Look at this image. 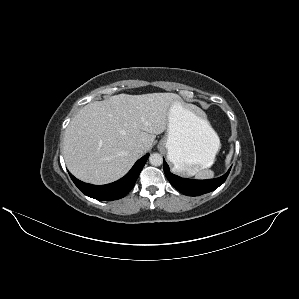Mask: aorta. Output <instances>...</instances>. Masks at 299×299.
I'll return each instance as SVG.
<instances>
[{"label": "aorta", "instance_id": "aorta-1", "mask_svg": "<svg viewBox=\"0 0 299 299\" xmlns=\"http://www.w3.org/2000/svg\"><path fill=\"white\" fill-rule=\"evenodd\" d=\"M149 162L153 166H160L163 163V158L159 153H153L149 157Z\"/></svg>", "mask_w": 299, "mask_h": 299}]
</instances>
